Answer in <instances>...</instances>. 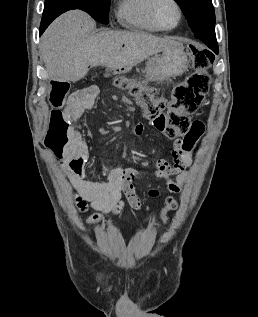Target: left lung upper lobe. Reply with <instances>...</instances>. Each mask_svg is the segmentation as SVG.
<instances>
[{"label":"left lung upper lobe","instance_id":"5c2ea615","mask_svg":"<svg viewBox=\"0 0 258 317\" xmlns=\"http://www.w3.org/2000/svg\"><path fill=\"white\" fill-rule=\"evenodd\" d=\"M184 13L192 31L215 29L212 0H175Z\"/></svg>","mask_w":258,"mask_h":317}]
</instances>
